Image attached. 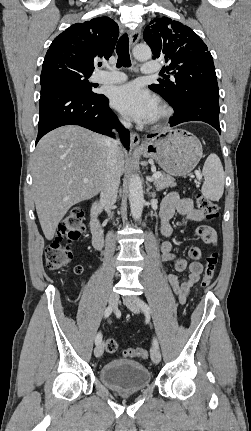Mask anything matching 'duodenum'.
Returning <instances> with one entry per match:
<instances>
[{
	"instance_id": "duodenum-1",
	"label": "duodenum",
	"mask_w": 251,
	"mask_h": 431,
	"mask_svg": "<svg viewBox=\"0 0 251 431\" xmlns=\"http://www.w3.org/2000/svg\"><path fill=\"white\" fill-rule=\"evenodd\" d=\"M99 211H100V205L98 202L94 203L91 209V220H90V227L93 237V245L100 249L103 246L104 243V230L101 224V221L99 219Z\"/></svg>"
}]
</instances>
